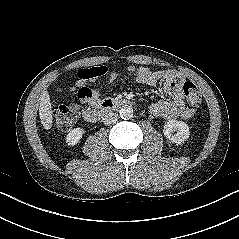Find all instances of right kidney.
<instances>
[{"label":"right kidney","mask_w":239,"mask_h":239,"mask_svg":"<svg viewBox=\"0 0 239 239\" xmlns=\"http://www.w3.org/2000/svg\"><path fill=\"white\" fill-rule=\"evenodd\" d=\"M84 130L82 128H74L72 129L66 137V142L68 143V145L74 146L76 145L80 139L82 138L83 134H84Z\"/></svg>","instance_id":"obj_1"}]
</instances>
